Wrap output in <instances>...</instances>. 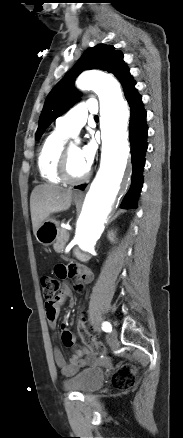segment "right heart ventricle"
Segmentation results:
<instances>
[{
  "label": "right heart ventricle",
  "instance_id": "e07e8e85",
  "mask_svg": "<svg viewBox=\"0 0 183 438\" xmlns=\"http://www.w3.org/2000/svg\"><path fill=\"white\" fill-rule=\"evenodd\" d=\"M66 134L57 128L42 143L37 157L38 170L41 177L53 184L61 183L57 173L59 156L64 148Z\"/></svg>",
  "mask_w": 183,
  "mask_h": 438
}]
</instances>
